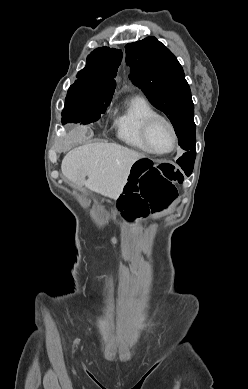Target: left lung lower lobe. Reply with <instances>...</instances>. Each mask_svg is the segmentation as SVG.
I'll list each match as a JSON object with an SVG mask.
<instances>
[{
	"mask_svg": "<svg viewBox=\"0 0 248 389\" xmlns=\"http://www.w3.org/2000/svg\"><path fill=\"white\" fill-rule=\"evenodd\" d=\"M185 126H186L189 134L195 135L196 126H195L193 119H190L189 121H187ZM195 157H196V151L194 149V150H190V151L185 152L177 160V163L183 169V171L185 172V174L187 176H189L193 170Z\"/></svg>",
	"mask_w": 248,
	"mask_h": 389,
	"instance_id": "obj_1",
	"label": "left lung lower lobe"
}]
</instances>
